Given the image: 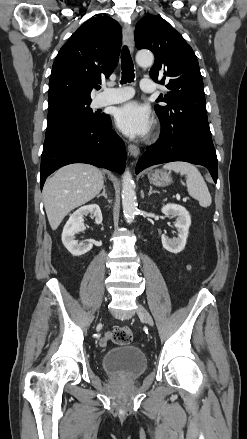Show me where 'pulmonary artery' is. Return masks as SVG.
<instances>
[{"instance_id":"1","label":"pulmonary artery","mask_w":247,"mask_h":439,"mask_svg":"<svg viewBox=\"0 0 247 439\" xmlns=\"http://www.w3.org/2000/svg\"><path fill=\"white\" fill-rule=\"evenodd\" d=\"M141 89L146 93H152L155 91V83L148 78L141 80ZM133 95V91L130 88H113L110 89L106 94L101 96L97 104L99 106H105L110 104H117L130 99Z\"/></svg>"}]
</instances>
